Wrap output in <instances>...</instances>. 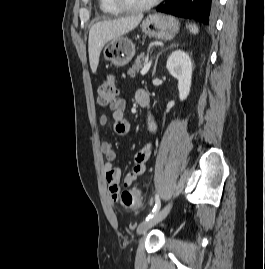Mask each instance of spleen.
Wrapping results in <instances>:
<instances>
[{"label":"spleen","mask_w":265,"mask_h":269,"mask_svg":"<svg viewBox=\"0 0 265 269\" xmlns=\"http://www.w3.org/2000/svg\"><path fill=\"white\" fill-rule=\"evenodd\" d=\"M186 28L192 34H197L199 32V29H198L197 25H195V24H186Z\"/></svg>","instance_id":"spleen-1"}]
</instances>
